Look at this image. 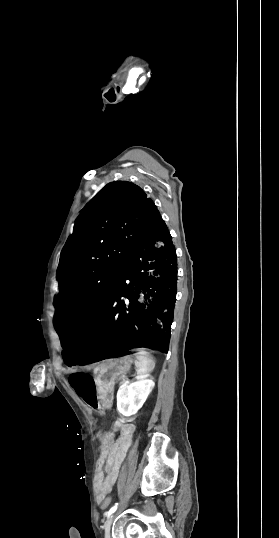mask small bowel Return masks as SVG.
<instances>
[{
  "instance_id": "small-bowel-1",
  "label": "small bowel",
  "mask_w": 279,
  "mask_h": 538,
  "mask_svg": "<svg viewBox=\"0 0 279 538\" xmlns=\"http://www.w3.org/2000/svg\"><path fill=\"white\" fill-rule=\"evenodd\" d=\"M70 386L75 394L91 409L103 414L102 408L96 392L95 380L92 376L78 372L70 376ZM115 429L120 431V435L115 442L106 443L104 433H99L101 441L100 456L97 462L98 473V497L100 500L112 491L119 475V470L129 450L135 432V427L130 423H116ZM105 472V474H104Z\"/></svg>"
}]
</instances>
